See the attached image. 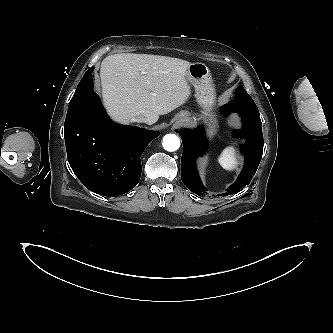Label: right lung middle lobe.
Segmentation results:
<instances>
[{
    "label": "right lung middle lobe",
    "instance_id": "dd1d6c3e",
    "mask_svg": "<svg viewBox=\"0 0 333 333\" xmlns=\"http://www.w3.org/2000/svg\"><path fill=\"white\" fill-rule=\"evenodd\" d=\"M93 70H94V68L92 67L84 74V77L82 78V80L78 84L76 92H75L74 96L72 97L69 105H71L72 103L77 101V96L82 92V90L86 87L88 81L91 79V75H92Z\"/></svg>",
    "mask_w": 333,
    "mask_h": 333
}]
</instances>
